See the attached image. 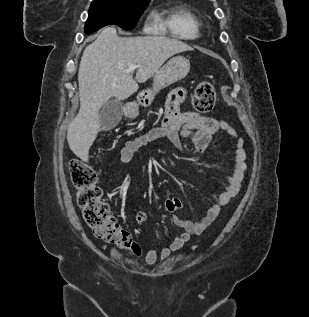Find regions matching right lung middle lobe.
I'll return each instance as SVG.
<instances>
[{
  "label": "right lung middle lobe",
  "instance_id": "obj_1",
  "mask_svg": "<svg viewBox=\"0 0 309 317\" xmlns=\"http://www.w3.org/2000/svg\"><path fill=\"white\" fill-rule=\"evenodd\" d=\"M149 2L150 0H93L85 33H93L107 25L132 30Z\"/></svg>",
  "mask_w": 309,
  "mask_h": 317
}]
</instances>
